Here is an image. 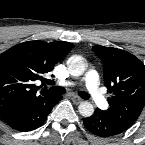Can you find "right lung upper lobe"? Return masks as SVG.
<instances>
[{"label": "right lung upper lobe", "mask_w": 145, "mask_h": 145, "mask_svg": "<svg viewBox=\"0 0 145 145\" xmlns=\"http://www.w3.org/2000/svg\"><path fill=\"white\" fill-rule=\"evenodd\" d=\"M72 48L69 42L28 41L0 54V118L53 96L45 89L38 93L34 82L52 84L44 76Z\"/></svg>", "instance_id": "right-lung-upper-lobe-1"}]
</instances>
